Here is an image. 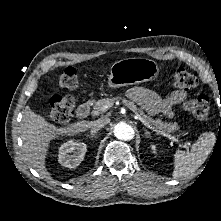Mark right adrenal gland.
<instances>
[{"label":"right adrenal gland","mask_w":221,"mask_h":221,"mask_svg":"<svg viewBox=\"0 0 221 221\" xmlns=\"http://www.w3.org/2000/svg\"><path fill=\"white\" fill-rule=\"evenodd\" d=\"M87 137H89V138H96V135L91 133L90 135L87 134Z\"/></svg>","instance_id":"1"}]
</instances>
